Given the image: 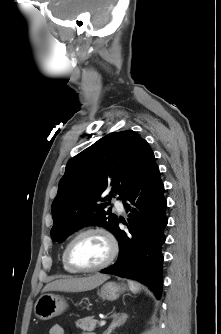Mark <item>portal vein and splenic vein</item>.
<instances>
[{
    "label": "portal vein and splenic vein",
    "mask_w": 221,
    "mask_h": 334,
    "mask_svg": "<svg viewBox=\"0 0 221 334\" xmlns=\"http://www.w3.org/2000/svg\"><path fill=\"white\" fill-rule=\"evenodd\" d=\"M105 324H106V321H105V320H102V321H100V323H99L100 326H104Z\"/></svg>",
    "instance_id": "18ae733b"
}]
</instances>
